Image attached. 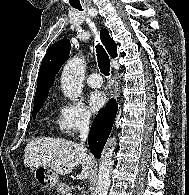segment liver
<instances>
[{
  "label": "liver",
  "mask_w": 189,
  "mask_h": 195,
  "mask_svg": "<svg viewBox=\"0 0 189 195\" xmlns=\"http://www.w3.org/2000/svg\"><path fill=\"white\" fill-rule=\"evenodd\" d=\"M24 165L35 168L48 166L61 175H67L79 164L82 171L73 179L85 180L92 174L94 160L82 144L76 142L40 137L31 140L25 147Z\"/></svg>",
  "instance_id": "1"
}]
</instances>
